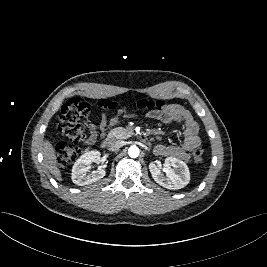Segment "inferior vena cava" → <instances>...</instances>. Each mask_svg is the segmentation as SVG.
Segmentation results:
<instances>
[{"label":"inferior vena cava","instance_id":"602c4592","mask_svg":"<svg viewBox=\"0 0 267 267\" xmlns=\"http://www.w3.org/2000/svg\"><path fill=\"white\" fill-rule=\"evenodd\" d=\"M122 146H123L122 141L114 140L108 144V150L109 151H116V150L120 149Z\"/></svg>","mask_w":267,"mask_h":267}]
</instances>
